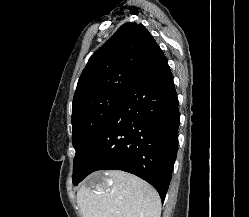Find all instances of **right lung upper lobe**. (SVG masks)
Wrapping results in <instances>:
<instances>
[{
    "label": "right lung upper lobe",
    "mask_w": 249,
    "mask_h": 217,
    "mask_svg": "<svg viewBox=\"0 0 249 217\" xmlns=\"http://www.w3.org/2000/svg\"><path fill=\"white\" fill-rule=\"evenodd\" d=\"M163 57L164 53L142 24H123L90 57L78 80L73 108L102 94H126Z\"/></svg>",
    "instance_id": "right-lung-upper-lobe-1"
}]
</instances>
